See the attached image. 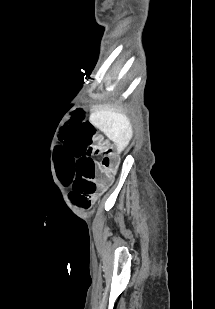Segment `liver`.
<instances>
[{"instance_id":"obj_1","label":"liver","mask_w":215,"mask_h":309,"mask_svg":"<svg viewBox=\"0 0 215 309\" xmlns=\"http://www.w3.org/2000/svg\"><path fill=\"white\" fill-rule=\"evenodd\" d=\"M90 120L94 126L103 130L104 134L117 144L118 152L124 150L133 136L130 118L122 112H115L114 108L92 112Z\"/></svg>"}]
</instances>
